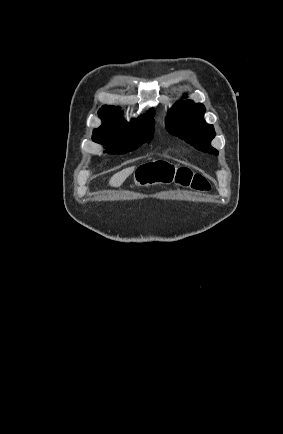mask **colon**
Here are the masks:
<instances>
[{"instance_id": "colon-1", "label": "colon", "mask_w": 283, "mask_h": 434, "mask_svg": "<svg viewBox=\"0 0 283 434\" xmlns=\"http://www.w3.org/2000/svg\"><path fill=\"white\" fill-rule=\"evenodd\" d=\"M136 182L141 186L174 182L198 191L210 190V183L203 174L166 162H151L140 166L136 172Z\"/></svg>"}]
</instances>
